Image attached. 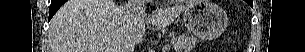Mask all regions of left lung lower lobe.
Returning a JSON list of instances; mask_svg holds the SVG:
<instances>
[{
    "label": "left lung lower lobe",
    "mask_w": 305,
    "mask_h": 52,
    "mask_svg": "<svg viewBox=\"0 0 305 52\" xmlns=\"http://www.w3.org/2000/svg\"><path fill=\"white\" fill-rule=\"evenodd\" d=\"M249 5L253 6V2L251 0L246 1Z\"/></svg>",
    "instance_id": "1"
}]
</instances>
